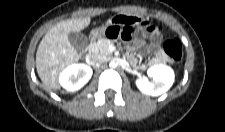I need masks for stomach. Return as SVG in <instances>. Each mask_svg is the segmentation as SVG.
I'll return each instance as SVG.
<instances>
[{"instance_id":"0dacf381","label":"stomach","mask_w":225,"mask_h":132,"mask_svg":"<svg viewBox=\"0 0 225 132\" xmlns=\"http://www.w3.org/2000/svg\"><path fill=\"white\" fill-rule=\"evenodd\" d=\"M111 24V22H109ZM108 26H102L99 28H95L91 31L90 36L92 40L101 39L105 36L106 30Z\"/></svg>"}]
</instances>
